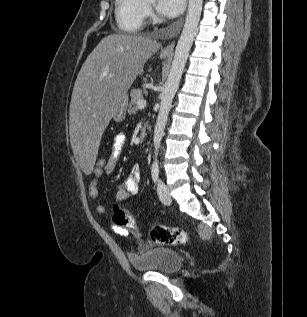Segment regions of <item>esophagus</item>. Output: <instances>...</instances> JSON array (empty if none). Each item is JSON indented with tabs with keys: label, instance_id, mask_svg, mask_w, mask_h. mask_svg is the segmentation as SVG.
Here are the masks:
<instances>
[{
	"label": "esophagus",
	"instance_id": "1",
	"mask_svg": "<svg viewBox=\"0 0 307 317\" xmlns=\"http://www.w3.org/2000/svg\"><path fill=\"white\" fill-rule=\"evenodd\" d=\"M174 46H175V41L172 42L171 44L167 45V46L163 49V53H173Z\"/></svg>",
	"mask_w": 307,
	"mask_h": 317
}]
</instances>
